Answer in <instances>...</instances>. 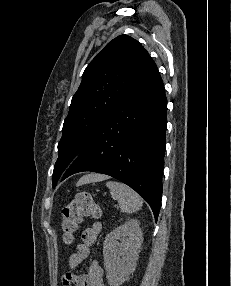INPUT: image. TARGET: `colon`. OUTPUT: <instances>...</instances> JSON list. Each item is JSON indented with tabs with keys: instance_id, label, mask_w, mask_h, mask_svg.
Listing matches in <instances>:
<instances>
[{
	"instance_id": "colon-1",
	"label": "colon",
	"mask_w": 231,
	"mask_h": 286,
	"mask_svg": "<svg viewBox=\"0 0 231 286\" xmlns=\"http://www.w3.org/2000/svg\"><path fill=\"white\" fill-rule=\"evenodd\" d=\"M100 209L88 192H80L61 211V228L64 240L71 243L79 225L85 217H97Z\"/></svg>"
}]
</instances>
